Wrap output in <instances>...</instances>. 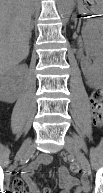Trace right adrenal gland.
<instances>
[{
  "mask_svg": "<svg viewBox=\"0 0 103 193\" xmlns=\"http://www.w3.org/2000/svg\"><path fill=\"white\" fill-rule=\"evenodd\" d=\"M34 29V24L33 22L31 23V26H30V34H29V37L31 38V35H32V30Z\"/></svg>",
  "mask_w": 103,
  "mask_h": 193,
  "instance_id": "2a0ac1e0",
  "label": "right adrenal gland"
}]
</instances>
